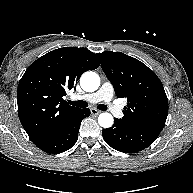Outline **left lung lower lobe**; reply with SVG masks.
I'll return each mask as SVG.
<instances>
[{"instance_id":"1","label":"left lung lower lobe","mask_w":193,"mask_h":193,"mask_svg":"<svg viewBox=\"0 0 193 193\" xmlns=\"http://www.w3.org/2000/svg\"><path fill=\"white\" fill-rule=\"evenodd\" d=\"M164 126L160 124L129 127L114 118V124L102 131L105 142L117 151L135 153L150 146Z\"/></svg>"}]
</instances>
